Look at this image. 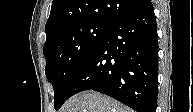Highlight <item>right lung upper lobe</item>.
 Returning <instances> with one entry per match:
<instances>
[{"instance_id":"right-lung-upper-lobe-1","label":"right lung upper lobe","mask_w":193,"mask_h":112,"mask_svg":"<svg viewBox=\"0 0 193 112\" xmlns=\"http://www.w3.org/2000/svg\"><path fill=\"white\" fill-rule=\"evenodd\" d=\"M145 0H53L46 22V41L60 30L79 23L109 26Z\"/></svg>"}]
</instances>
